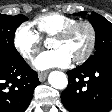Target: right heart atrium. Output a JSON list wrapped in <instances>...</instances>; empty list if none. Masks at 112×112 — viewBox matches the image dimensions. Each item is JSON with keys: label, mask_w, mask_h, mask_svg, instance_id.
Masks as SVG:
<instances>
[{"label": "right heart atrium", "mask_w": 112, "mask_h": 112, "mask_svg": "<svg viewBox=\"0 0 112 112\" xmlns=\"http://www.w3.org/2000/svg\"><path fill=\"white\" fill-rule=\"evenodd\" d=\"M13 44L25 60H30L42 46L39 34L30 23H22L16 28Z\"/></svg>", "instance_id": "d8ad5b80"}]
</instances>
